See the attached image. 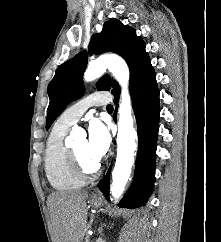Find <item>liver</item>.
<instances>
[{"mask_svg":"<svg viewBox=\"0 0 221 242\" xmlns=\"http://www.w3.org/2000/svg\"><path fill=\"white\" fill-rule=\"evenodd\" d=\"M88 193L56 192L47 201L53 226V242H81L87 224Z\"/></svg>","mask_w":221,"mask_h":242,"instance_id":"6515ba94","label":"liver"}]
</instances>
